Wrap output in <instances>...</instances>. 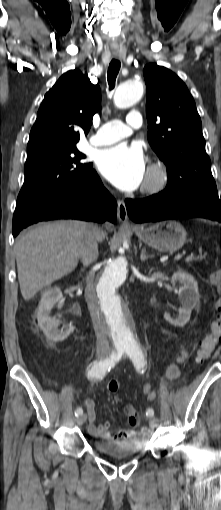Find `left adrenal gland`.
I'll list each match as a JSON object with an SVG mask.
<instances>
[{
  "label": "left adrenal gland",
  "instance_id": "left-adrenal-gland-1",
  "mask_svg": "<svg viewBox=\"0 0 221 510\" xmlns=\"http://www.w3.org/2000/svg\"><path fill=\"white\" fill-rule=\"evenodd\" d=\"M152 257H153V255H147V254H146V249H145V248H144V249H142V251H141V255H140V259H141V261H145V260H147V259H149V258H152Z\"/></svg>",
  "mask_w": 221,
  "mask_h": 510
}]
</instances>
